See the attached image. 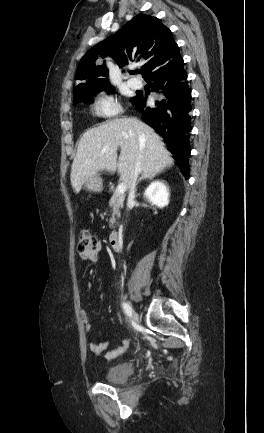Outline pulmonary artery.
<instances>
[{"label":"pulmonary artery","mask_w":264,"mask_h":433,"mask_svg":"<svg viewBox=\"0 0 264 433\" xmlns=\"http://www.w3.org/2000/svg\"><path fill=\"white\" fill-rule=\"evenodd\" d=\"M127 83L133 89H140L142 87V82L135 78L129 79Z\"/></svg>","instance_id":"obj_1"}]
</instances>
